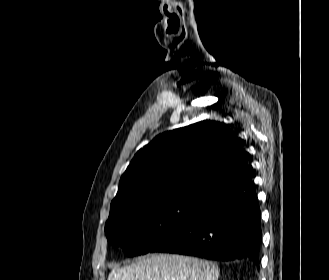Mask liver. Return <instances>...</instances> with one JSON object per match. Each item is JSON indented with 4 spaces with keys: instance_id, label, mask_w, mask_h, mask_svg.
Returning <instances> with one entry per match:
<instances>
[{
    "instance_id": "obj_1",
    "label": "liver",
    "mask_w": 329,
    "mask_h": 280,
    "mask_svg": "<svg viewBox=\"0 0 329 280\" xmlns=\"http://www.w3.org/2000/svg\"><path fill=\"white\" fill-rule=\"evenodd\" d=\"M209 261L175 254H152L124 267H114L107 280H218Z\"/></svg>"
}]
</instances>
